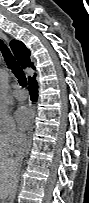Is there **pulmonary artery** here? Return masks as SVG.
I'll return each instance as SVG.
<instances>
[{"instance_id": "pulmonary-artery-1", "label": "pulmonary artery", "mask_w": 89, "mask_h": 203, "mask_svg": "<svg viewBox=\"0 0 89 203\" xmlns=\"http://www.w3.org/2000/svg\"><path fill=\"white\" fill-rule=\"evenodd\" d=\"M13 96L15 99H17L19 101H23V100L27 99L28 94L26 91H24L22 89H16L13 91Z\"/></svg>"}]
</instances>
